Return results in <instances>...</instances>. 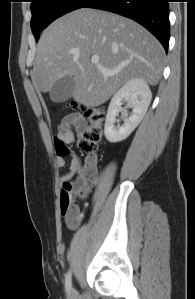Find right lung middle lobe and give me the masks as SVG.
I'll return each mask as SVG.
<instances>
[{"label":"right lung middle lobe","mask_w":195,"mask_h":299,"mask_svg":"<svg viewBox=\"0 0 195 299\" xmlns=\"http://www.w3.org/2000/svg\"><path fill=\"white\" fill-rule=\"evenodd\" d=\"M90 0H33L31 3V29L36 41L39 33L55 19L84 7Z\"/></svg>","instance_id":"obj_1"}]
</instances>
